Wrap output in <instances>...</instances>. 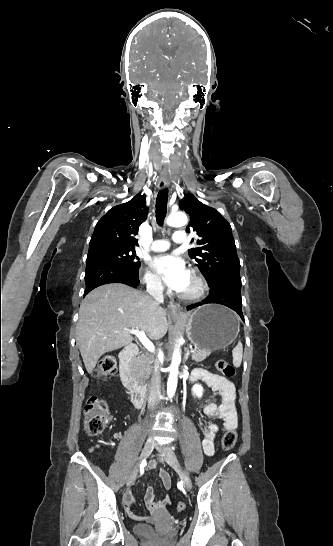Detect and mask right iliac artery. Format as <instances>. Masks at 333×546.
<instances>
[{"label": "right iliac artery", "mask_w": 333, "mask_h": 546, "mask_svg": "<svg viewBox=\"0 0 333 546\" xmlns=\"http://www.w3.org/2000/svg\"><path fill=\"white\" fill-rule=\"evenodd\" d=\"M146 465L145 459L141 462L140 467L143 468Z\"/></svg>", "instance_id": "right-iliac-artery-1"}]
</instances>
